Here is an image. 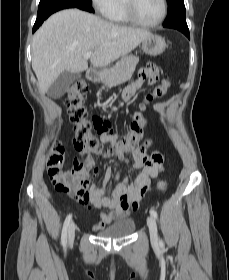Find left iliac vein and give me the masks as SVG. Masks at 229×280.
<instances>
[{
    "instance_id": "obj_1",
    "label": "left iliac vein",
    "mask_w": 229,
    "mask_h": 280,
    "mask_svg": "<svg viewBox=\"0 0 229 280\" xmlns=\"http://www.w3.org/2000/svg\"><path fill=\"white\" fill-rule=\"evenodd\" d=\"M147 225H148V228H149L151 242L153 244H157V242H158L157 226H156V221H155V219L152 215L148 216Z\"/></svg>"
}]
</instances>
